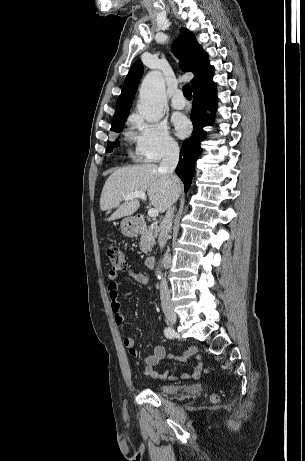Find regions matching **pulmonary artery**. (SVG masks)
<instances>
[{"label":"pulmonary artery","mask_w":305,"mask_h":461,"mask_svg":"<svg viewBox=\"0 0 305 461\" xmlns=\"http://www.w3.org/2000/svg\"><path fill=\"white\" fill-rule=\"evenodd\" d=\"M186 106V100L181 91H176L171 99V107L176 110H181Z\"/></svg>","instance_id":"1"}]
</instances>
